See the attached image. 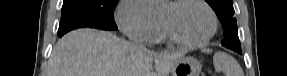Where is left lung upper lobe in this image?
<instances>
[{
	"instance_id": "obj_1",
	"label": "left lung upper lobe",
	"mask_w": 287,
	"mask_h": 76,
	"mask_svg": "<svg viewBox=\"0 0 287 76\" xmlns=\"http://www.w3.org/2000/svg\"><path fill=\"white\" fill-rule=\"evenodd\" d=\"M206 2L213 8L223 25L226 38L221 44L232 50L241 49L234 16L233 0H206Z\"/></svg>"
}]
</instances>
